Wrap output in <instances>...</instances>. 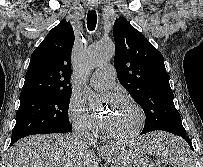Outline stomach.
<instances>
[{"instance_id":"0dacf381","label":"stomach","mask_w":203,"mask_h":167,"mask_svg":"<svg viewBox=\"0 0 203 167\" xmlns=\"http://www.w3.org/2000/svg\"><path fill=\"white\" fill-rule=\"evenodd\" d=\"M141 150L145 151L142 147ZM113 167H153L150 161L138 150H124L117 154L113 160Z\"/></svg>"}]
</instances>
